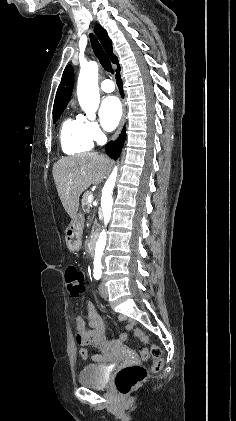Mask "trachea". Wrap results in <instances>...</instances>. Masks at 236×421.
<instances>
[{"label":"trachea","instance_id":"trachea-1","mask_svg":"<svg viewBox=\"0 0 236 421\" xmlns=\"http://www.w3.org/2000/svg\"><path fill=\"white\" fill-rule=\"evenodd\" d=\"M91 46L95 56L98 58L99 62L101 63L102 67L108 73H114L112 68L110 59L106 55L105 51L103 50L102 46L100 45L98 39L93 34H89Z\"/></svg>","mask_w":236,"mask_h":421}]
</instances>
